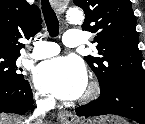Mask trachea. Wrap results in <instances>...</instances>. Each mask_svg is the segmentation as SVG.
Here are the masks:
<instances>
[{
  "label": "trachea",
  "instance_id": "3493384b",
  "mask_svg": "<svg viewBox=\"0 0 145 124\" xmlns=\"http://www.w3.org/2000/svg\"><path fill=\"white\" fill-rule=\"evenodd\" d=\"M42 11L48 32L51 37L59 34V21L48 0H42Z\"/></svg>",
  "mask_w": 145,
  "mask_h": 124
}]
</instances>
